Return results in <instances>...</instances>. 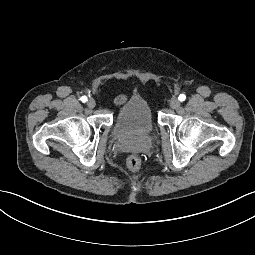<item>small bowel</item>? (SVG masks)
<instances>
[{
	"label": "small bowel",
	"mask_w": 255,
	"mask_h": 255,
	"mask_svg": "<svg viewBox=\"0 0 255 255\" xmlns=\"http://www.w3.org/2000/svg\"><path fill=\"white\" fill-rule=\"evenodd\" d=\"M123 99H124V98H120V99L118 100V102H119V103H120V102H122V101H123Z\"/></svg>",
	"instance_id": "1"
}]
</instances>
